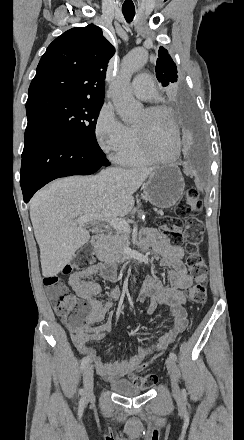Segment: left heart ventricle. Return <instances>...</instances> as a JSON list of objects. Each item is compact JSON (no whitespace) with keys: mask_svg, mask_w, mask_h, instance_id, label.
<instances>
[{"mask_svg":"<svg viewBox=\"0 0 244 440\" xmlns=\"http://www.w3.org/2000/svg\"><path fill=\"white\" fill-rule=\"evenodd\" d=\"M166 111L143 112L138 117L134 126L140 130H146V146H156L158 151L168 157L172 154L173 135L169 133L168 115Z\"/></svg>","mask_w":244,"mask_h":440,"instance_id":"1","label":"left heart ventricle"}]
</instances>
